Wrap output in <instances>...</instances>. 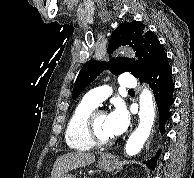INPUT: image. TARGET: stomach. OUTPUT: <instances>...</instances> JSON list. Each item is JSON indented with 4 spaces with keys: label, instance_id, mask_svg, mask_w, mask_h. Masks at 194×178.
Here are the masks:
<instances>
[{
    "label": "stomach",
    "instance_id": "0dacf381",
    "mask_svg": "<svg viewBox=\"0 0 194 178\" xmlns=\"http://www.w3.org/2000/svg\"><path fill=\"white\" fill-rule=\"evenodd\" d=\"M98 165L100 169L112 172L117 166V159L110 154H102L98 161ZM59 178H74V176L70 174H63Z\"/></svg>",
    "mask_w": 194,
    "mask_h": 178
}]
</instances>
